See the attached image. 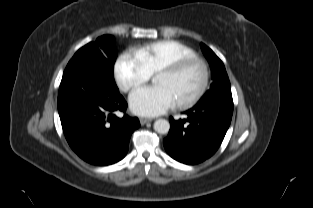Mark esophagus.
<instances>
[{
    "label": "esophagus",
    "instance_id": "esophagus-1",
    "mask_svg": "<svg viewBox=\"0 0 313 208\" xmlns=\"http://www.w3.org/2000/svg\"><path fill=\"white\" fill-rule=\"evenodd\" d=\"M152 120L149 118H140V124L145 125L148 122H151Z\"/></svg>",
    "mask_w": 313,
    "mask_h": 208
}]
</instances>
